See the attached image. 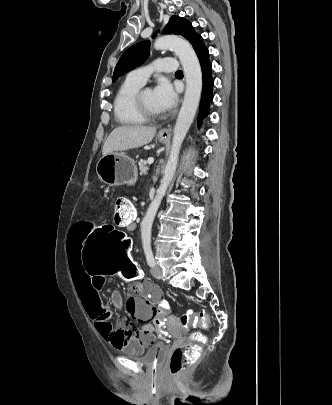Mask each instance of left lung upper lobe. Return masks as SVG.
I'll return each mask as SVG.
<instances>
[{
    "label": "left lung upper lobe",
    "mask_w": 332,
    "mask_h": 405,
    "mask_svg": "<svg viewBox=\"0 0 332 405\" xmlns=\"http://www.w3.org/2000/svg\"><path fill=\"white\" fill-rule=\"evenodd\" d=\"M163 33L176 34L184 36L193 46L197 53L204 45L203 38L197 34L190 22L178 16H172L165 26ZM156 34H154L155 36ZM150 43L148 41L139 42L121 56L114 70L113 80L123 75L124 73L141 65L149 55Z\"/></svg>",
    "instance_id": "5c2ea615"
}]
</instances>
